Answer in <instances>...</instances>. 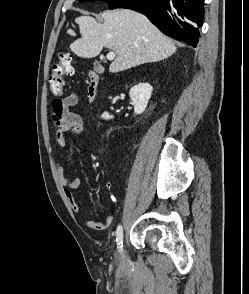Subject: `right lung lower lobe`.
I'll return each instance as SVG.
<instances>
[{
	"instance_id": "obj_1",
	"label": "right lung lower lobe",
	"mask_w": 249,
	"mask_h": 294,
	"mask_svg": "<svg viewBox=\"0 0 249 294\" xmlns=\"http://www.w3.org/2000/svg\"><path fill=\"white\" fill-rule=\"evenodd\" d=\"M119 8L138 11L164 34L196 47L204 0H124Z\"/></svg>"
}]
</instances>
